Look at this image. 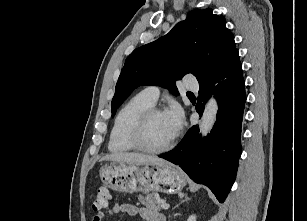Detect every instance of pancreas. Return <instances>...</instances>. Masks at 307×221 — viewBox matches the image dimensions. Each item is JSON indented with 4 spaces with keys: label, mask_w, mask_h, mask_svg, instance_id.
<instances>
[{
    "label": "pancreas",
    "mask_w": 307,
    "mask_h": 221,
    "mask_svg": "<svg viewBox=\"0 0 307 221\" xmlns=\"http://www.w3.org/2000/svg\"><path fill=\"white\" fill-rule=\"evenodd\" d=\"M139 201L146 206L147 208L153 209V210H160V204L162 200L156 193H146L145 196L139 195L138 196Z\"/></svg>",
    "instance_id": "cf45deb5"
}]
</instances>
